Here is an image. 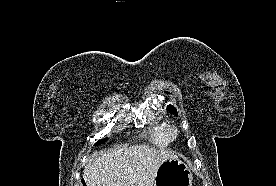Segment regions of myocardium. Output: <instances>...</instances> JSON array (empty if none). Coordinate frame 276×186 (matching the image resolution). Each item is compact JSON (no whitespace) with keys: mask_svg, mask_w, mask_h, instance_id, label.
<instances>
[{"mask_svg":"<svg viewBox=\"0 0 276 186\" xmlns=\"http://www.w3.org/2000/svg\"><path fill=\"white\" fill-rule=\"evenodd\" d=\"M164 133L169 141L176 139L178 136V128L175 124L169 122L164 125Z\"/></svg>","mask_w":276,"mask_h":186,"instance_id":"f54148a6","label":"myocardium"}]
</instances>
